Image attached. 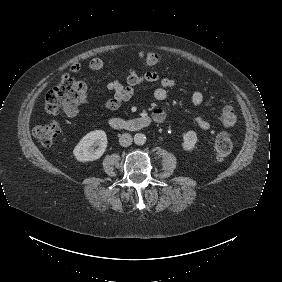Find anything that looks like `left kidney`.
<instances>
[{"instance_id": "1", "label": "left kidney", "mask_w": 282, "mask_h": 282, "mask_svg": "<svg viewBox=\"0 0 282 282\" xmlns=\"http://www.w3.org/2000/svg\"><path fill=\"white\" fill-rule=\"evenodd\" d=\"M197 134L195 131H187L182 136L181 147L185 152L192 151L197 143Z\"/></svg>"}]
</instances>
